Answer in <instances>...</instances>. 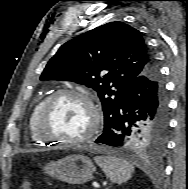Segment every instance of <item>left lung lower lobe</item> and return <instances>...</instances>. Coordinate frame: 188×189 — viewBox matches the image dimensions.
Masks as SVG:
<instances>
[{
	"label": "left lung lower lobe",
	"mask_w": 188,
	"mask_h": 189,
	"mask_svg": "<svg viewBox=\"0 0 188 189\" xmlns=\"http://www.w3.org/2000/svg\"><path fill=\"white\" fill-rule=\"evenodd\" d=\"M167 124L168 100L165 85L154 61L144 73L129 83L120 107L95 143L123 146L135 131L147 125L161 128L167 127Z\"/></svg>",
	"instance_id": "left-lung-lower-lobe-1"
}]
</instances>
